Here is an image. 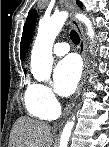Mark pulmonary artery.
<instances>
[{
    "instance_id": "e3ab8cb5",
    "label": "pulmonary artery",
    "mask_w": 109,
    "mask_h": 147,
    "mask_svg": "<svg viewBox=\"0 0 109 147\" xmlns=\"http://www.w3.org/2000/svg\"><path fill=\"white\" fill-rule=\"evenodd\" d=\"M70 50V47L68 45V43L66 42H58L54 45L53 47V53L56 56H64L65 54H67ZM55 117H51L49 120L54 119Z\"/></svg>"
}]
</instances>
